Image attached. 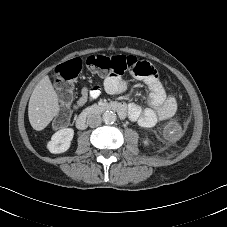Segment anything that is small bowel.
Instances as JSON below:
<instances>
[{"instance_id": "obj_1", "label": "small bowel", "mask_w": 227, "mask_h": 227, "mask_svg": "<svg viewBox=\"0 0 227 227\" xmlns=\"http://www.w3.org/2000/svg\"><path fill=\"white\" fill-rule=\"evenodd\" d=\"M140 78L149 89L148 104L150 107L141 109L138 104L132 103L128 107V117L144 128H152L159 121L170 119L176 112L177 103L174 97L165 94L157 76H140ZM104 88L111 95H119L127 89V83L118 77L108 78L104 82ZM100 92L99 88H83L81 97L74 107H80L87 101L96 99Z\"/></svg>"}]
</instances>
